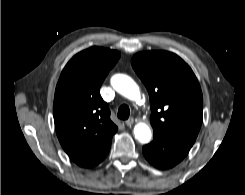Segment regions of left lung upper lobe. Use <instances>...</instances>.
Here are the masks:
<instances>
[{
    "mask_svg": "<svg viewBox=\"0 0 245 195\" xmlns=\"http://www.w3.org/2000/svg\"><path fill=\"white\" fill-rule=\"evenodd\" d=\"M131 64L148 90L154 133L194 144L202 124L203 98L188 64L167 51L137 53Z\"/></svg>",
    "mask_w": 245,
    "mask_h": 195,
    "instance_id": "obj_1",
    "label": "left lung upper lobe"
}]
</instances>
